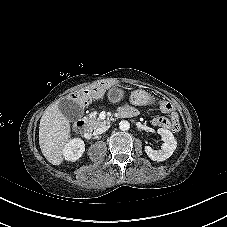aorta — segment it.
I'll list each match as a JSON object with an SVG mask.
<instances>
[{"label": "aorta", "mask_w": 227, "mask_h": 227, "mask_svg": "<svg viewBox=\"0 0 227 227\" xmlns=\"http://www.w3.org/2000/svg\"><path fill=\"white\" fill-rule=\"evenodd\" d=\"M119 128L122 131H127L130 128V123L126 120H123L119 123Z\"/></svg>", "instance_id": "aorta-1"}]
</instances>
